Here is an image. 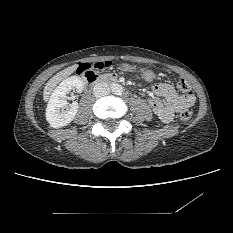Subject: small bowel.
Wrapping results in <instances>:
<instances>
[{
	"label": "small bowel",
	"instance_id": "1",
	"mask_svg": "<svg viewBox=\"0 0 233 233\" xmlns=\"http://www.w3.org/2000/svg\"><path fill=\"white\" fill-rule=\"evenodd\" d=\"M148 104L163 122H170L175 112H181L190 106L184 97L178 95L172 85L166 83L152 88L148 94Z\"/></svg>",
	"mask_w": 233,
	"mask_h": 233
}]
</instances>
